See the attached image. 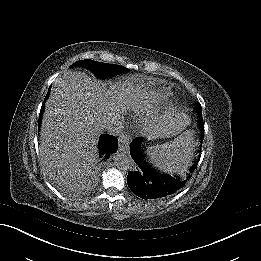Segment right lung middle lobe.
<instances>
[{
    "label": "right lung middle lobe",
    "instance_id": "right-lung-middle-lobe-1",
    "mask_svg": "<svg viewBox=\"0 0 261 261\" xmlns=\"http://www.w3.org/2000/svg\"><path fill=\"white\" fill-rule=\"evenodd\" d=\"M76 65H82L86 66L89 69L93 70L96 74H98L100 77H108L111 75H115L121 72L128 71L127 68L114 65V64H107V63H101L93 60H80L75 63ZM102 160L98 156V154L95 157V160L89 164L87 168V174L94 176L99 171L100 167L102 166ZM90 176V177H91ZM55 181H57V185L62 188H67L71 186V181L73 180V175L65 173L61 174L59 177H52Z\"/></svg>",
    "mask_w": 261,
    "mask_h": 261
}]
</instances>
